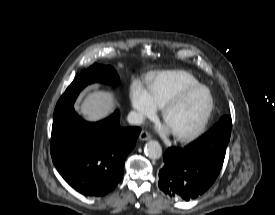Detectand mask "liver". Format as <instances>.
<instances>
[{"instance_id": "6515ba94", "label": "liver", "mask_w": 275, "mask_h": 215, "mask_svg": "<svg viewBox=\"0 0 275 215\" xmlns=\"http://www.w3.org/2000/svg\"><path fill=\"white\" fill-rule=\"evenodd\" d=\"M115 98L110 91H93L86 95L79 107L80 113L89 121L107 117L115 106Z\"/></svg>"}]
</instances>
